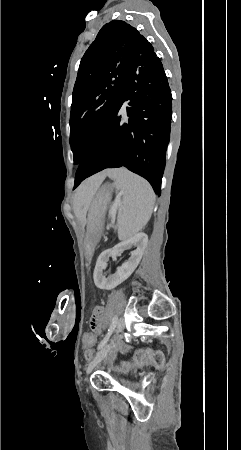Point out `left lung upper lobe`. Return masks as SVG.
I'll return each instance as SVG.
<instances>
[{
	"label": "left lung upper lobe",
	"instance_id": "5c2ea615",
	"mask_svg": "<svg viewBox=\"0 0 241 450\" xmlns=\"http://www.w3.org/2000/svg\"><path fill=\"white\" fill-rule=\"evenodd\" d=\"M150 45L134 27L124 21H111L85 52L70 114L74 164H79L96 131L116 108L132 57Z\"/></svg>",
	"mask_w": 241,
	"mask_h": 450
}]
</instances>
